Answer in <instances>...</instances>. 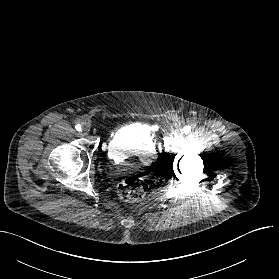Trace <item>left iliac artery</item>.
Instances as JSON below:
<instances>
[{"label": "left iliac artery", "instance_id": "44dca946", "mask_svg": "<svg viewBox=\"0 0 279 279\" xmlns=\"http://www.w3.org/2000/svg\"><path fill=\"white\" fill-rule=\"evenodd\" d=\"M190 129H191V127L186 126V127L183 128V131H184L185 134H187V133H189Z\"/></svg>", "mask_w": 279, "mask_h": 279}]
</instances>
